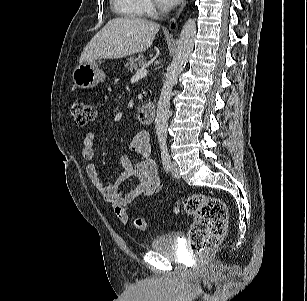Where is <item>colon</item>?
Returning a JSON list of instances; mask_svg holds the SVG:
<instances>
[{"label": "colon", "mask_w": 307, "mask_h": 301, "mask_svg": "<svg viewBox=\"0 0 307 301\" xmlns=\"http://www.w3.org/2000/svg\"><path fill=\"white\" fill-rule=\"evenodd\" d=\"M70 113L79 127H84L96 117L95 107L82 100L70 103ZM182 208L194 216V222L188 235V248L195 255H202L214 248L222 240L227 222L226 205L220 198L193 193L178 201L174 212ZM135 227L140 231L147 230V221L137 218Z\"/></svg>", "instance_id": "colon-1"}]
</instances>
